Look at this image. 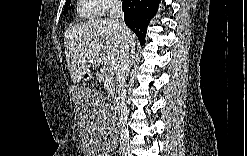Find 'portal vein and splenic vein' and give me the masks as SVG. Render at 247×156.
Returning <instances> with one entry per match:
<instances>
[{
    "mask_svg": "<svg viewBox=\"0 0 247 156\" xmlns=\"http://www.w3.org/2000/svg\"><path fill=\"white\" fill-rule=\"evenodd\" d=\"M108 73H114L116 70H117V66L115 63H109L107 66H106V69H105Z\"/></svg>",
    "mask_w": 247,
    "mask_h": 156,
    "instance_id": "obj_1",
    "label": "portal vein and splenic vein"
}]
</instances>
